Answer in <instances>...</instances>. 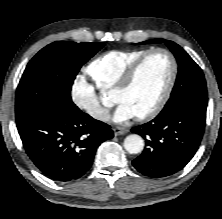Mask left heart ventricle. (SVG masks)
I'll return each instance as SVG.
<instances>
[{
    "label": "left heart ventricle",
    "instance_id": "obj_1",
    "mask_svg": "<svg viewBox=\"0 0 222 219\" xmlns=\"http://www.w3.org/2000/svg\"><path fill=\"white\" fill-rule=\"evenodd\" d=\"M170 69V60L165 54L150 55L140 66L132 85L124 92L115 93L114 100L127 104L135 115L145 113L162 96Z\"/></svg>",
    "mask_w": 222,
    "mask_h": 219
}]
</instances>
